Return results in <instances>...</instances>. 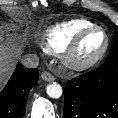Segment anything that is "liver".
<instances>
[{"instance_id":"obj_1","label":"liver","mask_w":118,"mask_h":118,"mask_svg":"<svg viewBox=\"0 0 118 118\" xmlns=\"http://www.w3.org/2000/svg\"><path fill=\"white\" fill-rule=\"evenodd\" d=\"M9 36L10 34H7ZM21 55L20 48L15 40L7 38L4 41L3 32L0 31V89L7 82L16 65V58Z\"/></svg>"}]
</instances>
